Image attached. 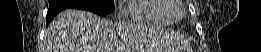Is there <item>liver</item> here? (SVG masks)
I'll return each instance as SVG.
<instances>
[{"label": "liver", "instance_id": "6515ba94", "mask_svg": "<svg viewBox=\"0 0 261 52\" xmlns=\"http://www.w3.org/2000/svg\"><path fill=\"white\" fill-rule=\"evenodd\" d=\"M138 30L133 23L66 9L46 29L44 52H134L133 36Z\"/></svg>", "mask_w": 261, "mask_h": 52}]
</instances>
